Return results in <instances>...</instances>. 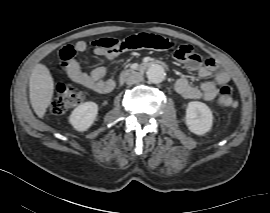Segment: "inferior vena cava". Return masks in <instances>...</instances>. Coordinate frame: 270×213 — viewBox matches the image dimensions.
<instances>
[{
    "instance_id": "1",
    "label": "inferior vena cava",
    "mask_w": 270,
    "mask_h": 213,
    "mask_svg": "<svg viewBox=\"0 0 270 213\" xmlns=\"http://www.w3.org/2000/svg\"><path fill=\"white\" fill-rule=\"evenodd\" d=\"M142 81H143V77H142V75H140L138 73H131L126 78V83L128 85H133V84H136V83H139Z\"/></svg>"
}]
</instances>
